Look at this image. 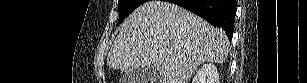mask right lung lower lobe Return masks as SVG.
I'll list each match as a JSON object with an SVG mask.
<instances>
[{"label": "right lung lower lobe", "instance_id": "obj_1", "mask_svg": "<svg viewBox=\"0 0 307 83\" xmlns=\"http://www.w3.org/2000/svg\"><path fill=\"white\" fill-rule=\"evenodd\" d=\"M170 2L192 11L213 26L221 27L229 39H232L236 0H171Z\"/></svg>", "mask_w": 307, "mask_h": 83}]
</instances>
